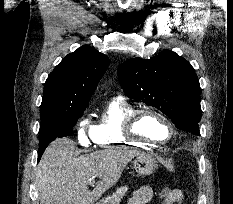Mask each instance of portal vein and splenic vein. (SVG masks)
<instances>
[{
    "label": "portal vein and splenic vein",
    "mask_w": 233,
    "mask_h": 204,
    "mask_svg": "<svg viewBox=\"0 0 233 204\" xmlns=\"http://www.w3.org/2000/svg\"><path fill=\"white\" fill-rule=\"evenodd\" d=\"M89 184H90L91 186H94L95 181H94V180H90Z\"/></svg>",
    "instance_id": "18ae733b"
}]
</instances>
